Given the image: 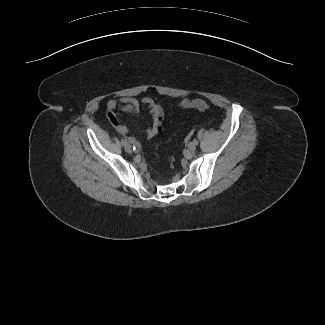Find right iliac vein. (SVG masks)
I'll use <instances>...</instances> for the list:
<instances>
[{"instance_id":"1","label":"right iliac vein","mask_w":325,"mask_h":325,"mask_svg":"<svg viewBox=\"0 0 325 325\" xmlns=\"http://www.w3.org/2000/svg\"><path fill=\"white\" fill-rule=\"evenodd\" d=\"M124 149H125V151L128 152V153H131V152H132V147H131V145L128 144V143H126V144L124 145Z\"/></svg>"}]
</instances>
